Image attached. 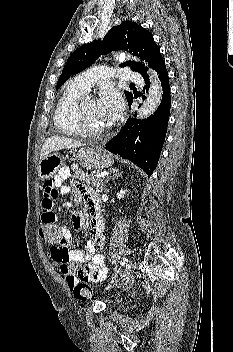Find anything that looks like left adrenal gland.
<instances>
[{
    "mask_svg": "<svg viewBox=\"0 0 233 352\" xmlns=\"http://www.w3.org/2000/svg\"><path fill=\"white\" fill-rule=\"evenodd\" d=\"M113 176H107L106 177V180H105V182L102 184V186H101V189H103V187L105 186V183H107L108 181H110L111 179L113 180V179H115V178H118L120 175H121V173H118V170H116V169H113Z\"/></svg>",
    "mask_w": 233,
    "mask_h": 352,
    "instance_id": "left-adrenal-gland-1",
    "label": "left adrenal gland"
}]
</instances>
